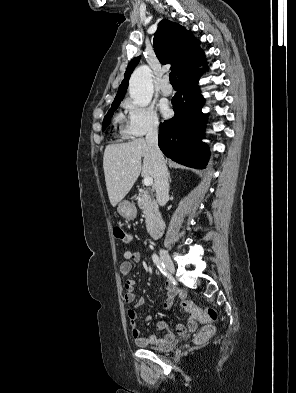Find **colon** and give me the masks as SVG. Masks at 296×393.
<instances>
[{
  "mask_svg": "<svg viewBox=\"0 0 296 393\" xmlns=\"http://www.w3.org/2000/svg\"><path fill=\"white\" fill-rule=\"evenodd\" d=\"M113 234L116 239L120 240L123 243H130L131 242V234L121 228V227H114ZM181 308L188 312L191 317L200 321V322H209L214 321L217 317L216 311L213 308H199L197 307L191 300H182L180 301ZM215 332V328L212 325H207L202 328L198 334L195 336V343L196 344H203L208 341Z\"/></svg>",
  "mask_w": 296,
  "mask_h": 393,
  "instance_id": "obj_1",
  "label": "colon"
}]
</instances>
